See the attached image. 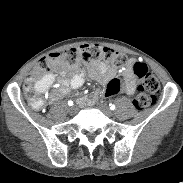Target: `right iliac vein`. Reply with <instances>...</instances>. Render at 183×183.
Segmentation results:
<instances>
[{"label": "right iliac vein", "mask_w": 183, "mask_h": 183, "mask_svg": "<svg viewBox=\"0 0 183 183\" xmlns=\"http://www.w3.org/2000/svg\"><path fill=\"white\" fill-rule=\"evenodd\" d=\"M69 111H70L71 113H74V112L76 111V108H75V107H70V108H69Z\"/></svg>", "instance_id": "63e3f726"}]
</instances>
